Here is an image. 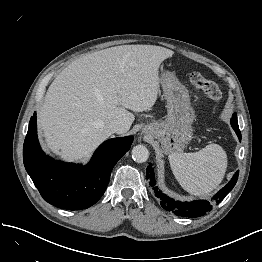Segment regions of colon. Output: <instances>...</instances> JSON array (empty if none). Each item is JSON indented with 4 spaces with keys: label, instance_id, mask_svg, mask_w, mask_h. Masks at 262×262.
<instances>
[{
    "label": "colon",
    "instance_id": "1",
    "mask_svg": "<svg viewBox=\"0 0 262 262\" xmlns=\"http://www.w3.org/2000/svg\"><path fill=\"white\" fill-rule=\"evenodd\" d=\"M190 82L195 88L205 92L212 102L218 103L221 100L222 92L219 86L215 82L206 79L202 74L198 72L192 73Z\"/></svg>",
    "mask_w": 262,
    "mask_h": 262
}]
</instances>
